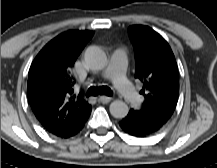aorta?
I'll list each match as a JSON object with an SVG mask.
<instances>
[{"label":"aorta","mask_w":217,"mask_h":168,"mask_svg":"<svg viewBox=\"0 0 217 168\" xmlns=\"http://www.w3.org/2000/svg\"><path fill=\"white\" fill-rule=\"evenodd\" d=\"M84 61L90 69L101 70L107 64V56L101 48L91 46L84 53ZM109 110L111 115L117 119L126 117L129 112L127 104L121 100L113 101L110 104Z\"/></svg>","instance_id":"762f6f07"}]
</instances>
